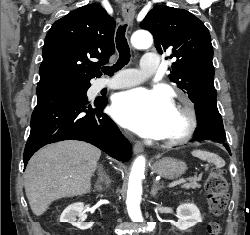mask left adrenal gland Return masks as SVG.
Instances as JSON below:
<instances>
[{
    "mask_svg": "<svg viewBox=\"0 0 250 235\" xmlns=\"http://www.w3.org/2000/svg\"><path fill=\"white\" fill-rule=\"evenodd\" d=\"M161 188H163V186H159L158 182L154 181V182H153L152 189H151V192H150L151 196H152L153 198H155L156 195L158 194V191H159Z\"/></svg>",
    "mask_w": 250,
    "mask_h": 235,
    "instance_id": "obj_1",
    "label": "left adrenal gland"
}]
</instances>
